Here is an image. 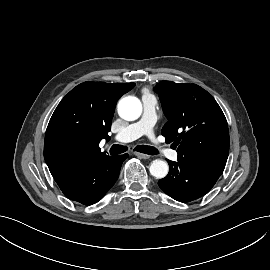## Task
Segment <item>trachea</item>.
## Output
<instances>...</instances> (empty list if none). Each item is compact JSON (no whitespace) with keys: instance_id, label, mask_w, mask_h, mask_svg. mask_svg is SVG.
Returning a JSON list of instances; mask_svg holds the SVG:
<instances>
[{"instance_id":"3493384b","label":"trachea","mask_w":270,"mask_h":270,"mask_svg":"<svg viewBox=\"0 0 270 270\" xmlns=\"http://www.w3.org/2000/svg\"><path fill=\"white\" fill-rule=\"evenodd\" d=\"M127 149H128L127 146L115 144L110 148L109 152L111 155H116L125 152ZM134 150L148 155L158 154V151L154 147L147 145H138L135 147Z\"/></svg>"}]
</instances>
